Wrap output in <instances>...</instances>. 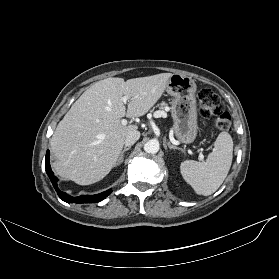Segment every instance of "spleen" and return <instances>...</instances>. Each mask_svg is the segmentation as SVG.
<instances>
[{"mask_svg": "<svg viewBox=\"0 0 279 279\" xmlns=\"http://www.w3.org/2000/svg\"><path fill=\"white\" fill-rule=\"evenodd\" d=\"M233 158V140L228 132H221L213 151L205 162L186 160L180 165L184 180L196 194L209 196L223 183L230 170Z\"/></svg>", "mask_w": 279, "mask_h": 279, "instance_id": "spleen-1", "label": "spleen"}]
</instances>
